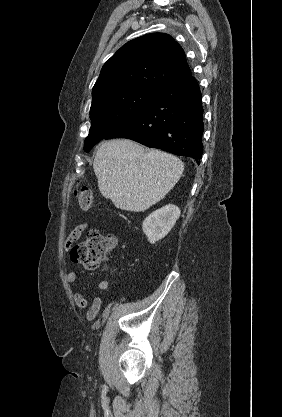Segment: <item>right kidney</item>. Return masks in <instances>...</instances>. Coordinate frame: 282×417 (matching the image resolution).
I'll use <instances>...</instances> for the list:
<instances>
[{"label":"right kidney","instance_id":"right-kidney-1","mask_svg":"<svg viewBox=\"0 0 282 417\" xmlns=\"http://www.w3.org/2000/svg\"><path fill=\"white\" fill-rule=\"evenodd\" d=\"M180 209L176 204H165L162 209L153 211L142 223L143 233H145L149 243H156L164 239L169 231L173 229L177 219L180 217Z\"/></svg>","mask_w":282,"mask_h":417}]
</instances>
